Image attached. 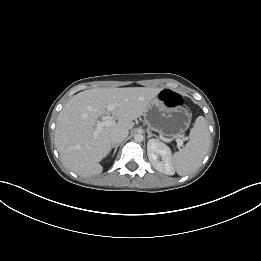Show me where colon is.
<instances>
[{"instance_id": "colon-1", "label": "colon", "mask_w": 261, "mask_h": 261, "mask_svg": "<svg viewBox=\"0 0 261 261\" xmlns=\"http://www.w3.org/2000/svg\"><path fill=\"white\" fill-rule=\"evenodd\" d=\"M159 99L167 106V107H176L182 104L181 96L172 91V90H163L159 94Z\"/></svg>"}]
</instances>
